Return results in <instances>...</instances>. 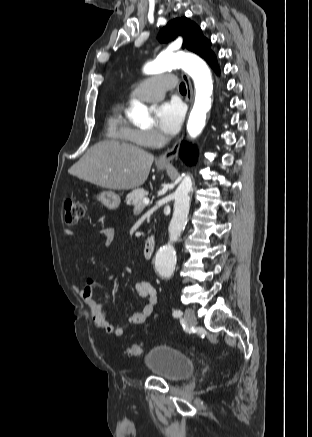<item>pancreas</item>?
Masks as SVG:
<instances>
[{"label": "pancreas", "instance_id": "1", "mask_svg": "<svg viewBox=\"0 0 312 437\" xmlns=\"http://www.w3.org/2000/svg\"><path fill=\"white\" fill-rule=\"evenodd\" d=\"M147 191L142 188H138L130 192L125 199V202L129 206L137 207L141 205L143 208V199L147 196Z\"/></svg>", "mask_w": 312, "mask_h": 437}]
</instances>
